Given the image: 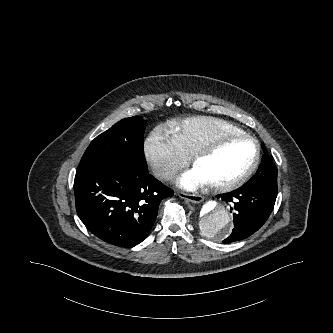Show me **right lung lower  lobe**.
<instances>
[{"instance_id":"1","label":"right lung lower lobe","mask_w":333,"mask_h":333,"mask_svg":"<svg viewBox=\"0 0 333 333\" xmlns=\"http://www.w3.org/2000/svg\"><path fill=\"white\" fill-rule=\"evenodd\" d=\"M74 192L77 214L86 228L99 239L124 248L148 236L160 202L173 195L147 168L113 164L79 166Z\"/></svg>"}]
</instances>
